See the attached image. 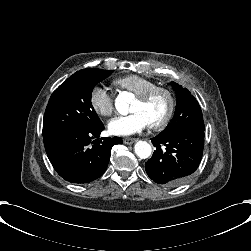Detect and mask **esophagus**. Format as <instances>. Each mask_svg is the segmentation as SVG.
<instances>
[{
  "label": "esophagus",
  "instance_id": "34e87169",
  "mask_svg": "<svg viewBox=\"0 0 251 251\" xmlns=\"http://www.w3.org/2000/svg\"><path fill=\"white\" fill-rule=\"evenodd\" d=\"M137 141L135 138H124V144L130 145Z\"/></svg>",
  "mask_w": 251,
  "mask_h": 251
}]
</instances>
